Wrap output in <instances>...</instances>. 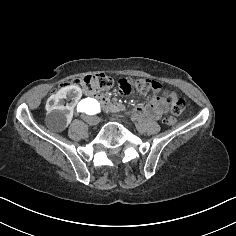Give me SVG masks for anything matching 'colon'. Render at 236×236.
Masks as SVG:
<instances>
[{
    "label": "colon",
    "instance_id": "obj_1",
    "mask_svg": "<svg viewBox=\"0 0 236 236\" xmlns=\"http://www.w3.org/2000/svg\"><path fill=\"white\" fill-rule=\"evenodd\" d=\"M69 85H77L88 92L109 89L115 85V81L111 76L105 73L96 72L64 82L60 87L62 88ZM116 86L122 93H129L135 88L141 93L153 91L162 94L170 105L173 114V116L166 118L164 121L169 126H173L176 123L175 116L182 114L185 109L184 99L179 97L174 91L165 88L159 82L143 78H121L116 82Z\"/></svg>",
    "mask_w": 236,
    "mask_h": 236
}]
</instances>
